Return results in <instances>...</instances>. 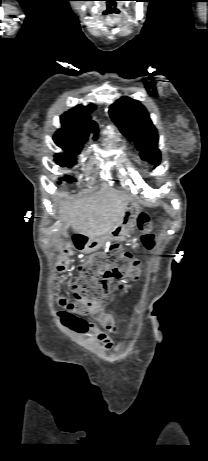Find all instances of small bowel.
<instances>
[{
  "instance_id": "small-bowel-1",
  "label": "small bowel",
  "mask_w": 208,
  "mask_h": 461,
  "mask_svg": "<svg viewBox=\"0 0 208 461\" xmlns=\"http://www.w3.org/2000/svg\"><path fill=\"white\" fill-rule=\"evenodd\" d=\"M127 290V285L120 282L116 287L111 285V282H107L104 285L105 297L112 299L116 292H124ZM90 315L99 322L103 330L96 327L94 324H90L89 328L95 337L101 342L103 349L109 350L112 348V339L109 332H118L116 325V318L105 311L103 306L98 303L95 308L90 312ZM86 329V327H85Z\"/></svg>"
}]
</instances>
